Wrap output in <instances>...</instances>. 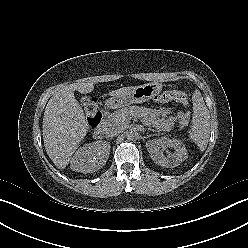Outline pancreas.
Returning a JSON list of instances; mask_svg holds the SVG:
<instances>
[{
	"label": "pancreas",
	"mask_w": 248,
	"mask_h": 248,
	"mask_svg": "<svg viewBox=\"0 0 248 248\" xmlns=\"http://www.w3.org/2000/svg\"><path fill=\"white\" fill-rule=\"evenodd\" d=\"M133 115L143 117L145 122L155 127L157 130H168L175 121H179L181 127L188 124L189 117L179 112L176 117L170 119L159 118L160 112L150 108L129 106L118 109L109 115V125L124 127L130 123Z\"/></svg>",
	"instance_id": "cf45deb5"
}]
</instances>
